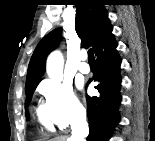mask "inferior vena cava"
<instances>
[{"label":"inferior vena cava","mask_w":155,"mask_h":141,"mask_svg":"<svg viewBox=\"0 0 155 141\" xmlns=\"http://www.w3.org/2000/svg\"><path fill=\"white\" fill-rule=\"evenodd\" d=\"M86 122L85 116L79 118L78 122L74 123L72 128V136L69 141H83V138L86 135V130L83 127V123Z\"/></svg>","instance_id":"602c4592"}]
</instances>
